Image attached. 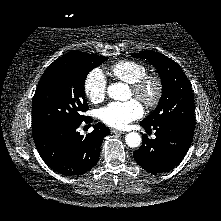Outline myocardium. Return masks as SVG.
<instances>
[{"label":"myocardium","instance_id":"myocardium-1","mask_svg":"<svg viewBox=\"0 0 221 221\" xmlns=\"http://www.w3.org/2000/svg\"><path fill=\"white\" fill-rule=\"evenodd\" d=\"M131 89L133 94L141 100L146 107L152 108L161 100L163 83L158 75L145 74L131 84Z\"/></svg>","mask_w":221,"mask_h":221}]
</instances>
